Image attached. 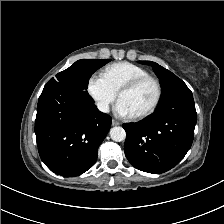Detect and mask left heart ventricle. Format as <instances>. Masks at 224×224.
<instances>
[{"mask_svg":"<svg viewBox=\"0 0 224 224\" xmlns=\"http://www.w3.org/2000/svg\"><path fill=\"white\" fill-rule=\"evenodd\" d=\"M155 97L154 83L145 81L135 89L123 93L119 100L128 107L133 115H137L147 110L153 104Z\"/></svg>","mask_w":224,"mask_h":224,"instance_id":"obj_1","label":"left heart ventricle"}]
</instances>
